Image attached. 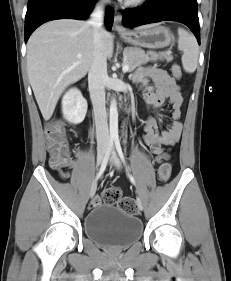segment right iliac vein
Returning a JSON list of instances; mask_svg holds the SVG:
<instances>
[{
    "label": "right iliac vein",
    "mask_w": 231,
    "mask_h": 281,
    "mask_svg": "<svg viewBox=\"0 0 231 281\" xmlns=\"http://www.w3.org/2000/svg\"><path fill=\"white\" fill-rule=\"evenodd\" d=\"M105 151H106V148L105 147H99L98 148V151H97V165H100L102 160H103V157H104V154H105ZM96 188H97V183L96 181L93 182L91 188H90V197H93L95 192H96Z\"/></svg>",
    "instance_id": "63e3f726"
}]
</instances>
